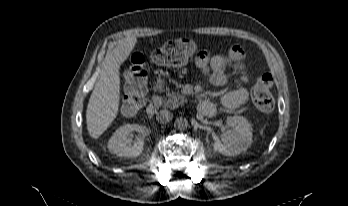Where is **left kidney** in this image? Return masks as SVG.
Wrapping results in <instances>:
<instances>
[{
    "label": "left kidney",
    "instance_id": "1",
    "mask_svg": "<svg viewBox=\"0 0 348 206\" xmlns=\"http://www.w3.org/2000/svg\"><path fill=\"white\" fill-rule=\"evenodd\" d=\"M226 123L232 128L223 134L222 140H215L213 148L225 156H235L246 151L252 143V128L242 116H229Z\"/></svg>",
    "mask_w": 348,
    "mask_h": 206
}]
</instances>
